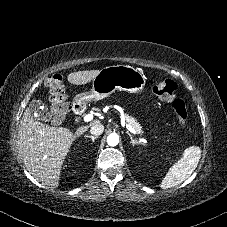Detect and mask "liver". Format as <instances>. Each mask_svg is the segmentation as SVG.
I'll return each instance as SVG.
<instances>
[{
    "label": "liver",
    "mask_w": 227,
    "mask_h": 227,
    "mask_svg": "<svg viewBox=\"0 0 227 227\" xmlns=\"http://www.w3.org/2000/svg\"><path fill=\"white\" fill-rule=\"evenodd\" d=\"M99 70H86L70 73L69 83L85 85L93 80ZM99 123L92 121L79 127L73 134L64 127H51L34 120L29 108L19 124L17 144L20 157L29 173L44 186L56 188L65 157L77 137L85 133L89 126Z\"/></svg>",
    "instance_id": "6515ba94"
}]
</instances>
